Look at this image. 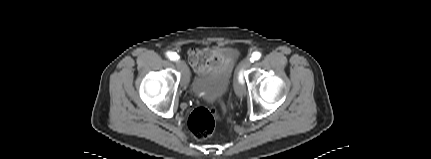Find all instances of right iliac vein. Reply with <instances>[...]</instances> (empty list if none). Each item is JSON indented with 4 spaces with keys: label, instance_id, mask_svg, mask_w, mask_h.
Listing matches in <instances>:
<instances>
[{
    "label": "right iliac vein",
    "instance_id": "obj_1",
    "mask_svg": "<svg viewBox=\"0 0 431 159\" xmlns=\"http://www.w3.org/2000/svg\"><path fill=\"white\" fill-rule=\"evenodd\" d=\"M177 67H178V69L182 70L183 76H182V80H181V86L185 89L189 83L188 68L186 66V63L183 60L177 61Z\"/></svg>",
    "mask_w": 431,
    "mask_h": 159
}]
</instances>
